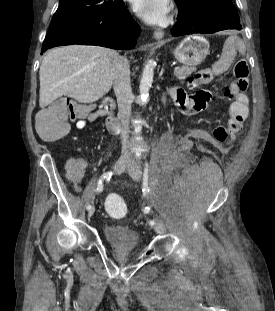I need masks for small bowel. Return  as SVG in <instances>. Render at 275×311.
I'll list each match as a JSON object with an SVG mask.
<instances>
[{"label":"small bowel","instance_id":"obj_1","mask_svg":"<svg viewBox=\"0 0 275 311\" xmlns=\"http://www.w3.org/2000/svg\"><path fill=\"white\" fill-rule=\"evenodd\" d=\"M225 49L220 60L211 61V69H199L198 73L192 74L190 86L187 92L181 87H172L167 90L166 96L170 97L184 114H196L204 108H209V103H212L211 91H206L209 82L213 78H219V72H227V67L234 66V57H246L247 51L244 50L241 41H236L235 38H228ZM233 97L228 109L229 122H214V132L211 133L212 143H229V139H233V133H242V124L248 115V97L237 89L236 83L231 85ZM103 110H96L83 115L76 122L78 129H85L89 122H95L99 118L104 117ZM214 121L218 120L217 116L213 117ZM64 166L69 167L65 170L66 180H83L86 164L84 161L65 160ZM75 191H79V187L75 184Z\"/></svg>","mask_w":275,"mask_h":311}]
</instances>
